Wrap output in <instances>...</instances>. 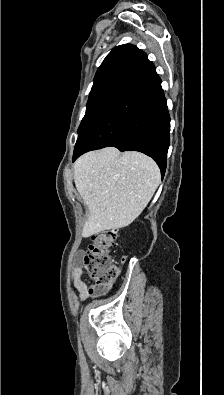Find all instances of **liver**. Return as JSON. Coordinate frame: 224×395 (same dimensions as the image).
<instances>
[{
    "label": "liver",
    "mask_w": 224,
    "mask_h": 395,
    "mask_svg": "<svg viewBox=\"0 0 224 395\" xmlns=\"http://www.w3.org/2000/svg\"><path fill=\"white\" fill-rule=\"evenodd\" d=\"M73 169L75 186L88 208L85 238L131 224L161 181L153 159L136 151L121 154L114 147L82 155Z\"/></svg>",
    "instance_id": "liver-1"
}]
</instances>
